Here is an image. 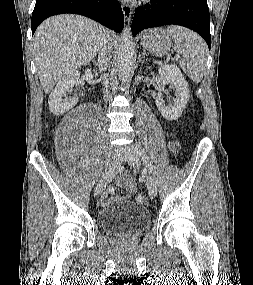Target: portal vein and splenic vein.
Returning <instances> with one entry per match:
<instances>
[{
	"mask_svg": "<svg viewBox=\"0 0 253 285\" xmlns=\"http://www.w3.org/2000/svg\"><path fill=\"white\" fill-rule=\"evenodd\" d=\"M179 58V56H176V59H178Z\"/></svg>",
	"mask_w": 253,
	"mask_h": 285,
	"instance_id": "1",
	"label": "portal vein and splenic vein"
}]
</instances>
